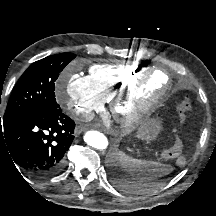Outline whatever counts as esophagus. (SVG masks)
Here are the masks:
<instances>
[{
    "mask_svg": "<svg viewBox=\"0 0 216 216\" xmlns=\"http://www.w3.org/2000/svg\"><path fill=\"white\" fill-rule=\"evenodd\" d=\"M87 128L85 126H76L75 127V134L76 135H79L80 133H82L83 131H85Z\"/></svg>",
    "mask_w": 216,
    "mask_h": 216,
    "instance_id": "1",
    "label": "esophagus"
}]
</instances>
